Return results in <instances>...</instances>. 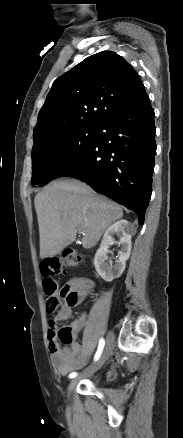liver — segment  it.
I'll list each match as a JSON object with an SVG mask.
<instances>
[{"mask_svg":"<svg viewBox=\"0 0 183 438\" xmlns=\"http://www.w3.org/2000/svg\"><path fill=\"white\" fill-rule=\"evenodd\" d=\"M40 235V257H53L83 233L84 248H92L105 230L123 216L121 206L75 179L52 181L34 198Z\"/></svg>","mask_w":183,"mask_h":438,"instance_id":"1","label":"liver"}]
</instances>
